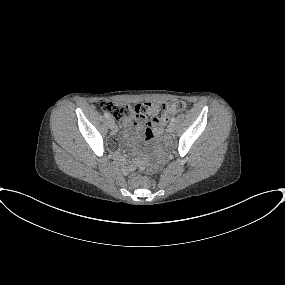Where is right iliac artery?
<instances>
[{
	"mask_svg": "<svg viewBox=\"0 0 285 285\" xmlns=\"http://www.w3.org/2000/svg\"><path fill=\"white\" fill-rule=\"evenodd\" d=\"M104 116H105L106 118H109V114H108L107 112H104Z\"/></svg>",
	"mask_w": 285,
	"mask_h": 285,
	"instance_id": "82829eb1",
	"label": "right iliac artery"
}]
</instances>
